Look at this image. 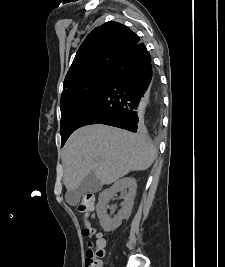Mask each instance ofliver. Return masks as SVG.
I'll return each instance as SVG.
<instances>
[{
  "label": "liver",
  "mask_w": 225,
  "mask_h": 267,
  "mask_svg": "<svg viewBox=\"0 0 225 267\" xmlns=\"http://www.w3.org/2000/svg\"><path fill=\"white\" fill-rule=\"evenodd\" d=\"M156 156L145 134L87 125L74 131L62 149L64 185L67 191L74 190L91 172L102 185L111 184L130 171L148 169Z\"/></svg>",
  "instance_id": "6515ba94"
}]
</instances>
